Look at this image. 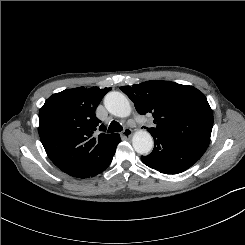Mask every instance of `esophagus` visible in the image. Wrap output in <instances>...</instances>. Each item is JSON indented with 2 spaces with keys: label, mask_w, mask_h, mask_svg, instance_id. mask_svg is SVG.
<instances>
[{
  "label": "esophagus",
  "mask_w": 245,
  "mask_h": 245,
  "mask_svg": "<svg viewBox=\"0 0 245 245\" xmlns=\"http://www.w3.org/2000/svg\"><path fill=\"white\" fill-rule=\"evenodd\" d=\"M133 134V131L129 128L124 129V131L122 132V136L125 138H130Z\"/></svg>",
  "instance_id": "34e87169"
}]
</instances>
